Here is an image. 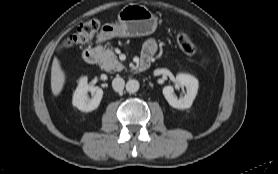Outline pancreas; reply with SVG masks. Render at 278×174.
Returning <instances> with one entry per match:
<instances>
[{"mask_svg":"<svg viewBox=\"0 0 278 174\" xmlns=\"http://www.w3.org/2000/svg\"><path fill=\"white\" fill-rule=\"evenodd\" d=\"M101 67L107 72H117L124 69L112 49H103L101 57Z\"/></svg>","mask_w":278,"mask_h":174,"instance_id":"cf45deb5","label":"pancreas"}]
</instances>
